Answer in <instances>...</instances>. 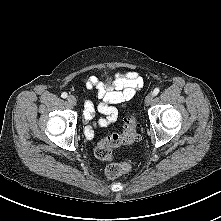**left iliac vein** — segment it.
<instances>
[{
  "label": "left iliac vein",
  "mask_w": 221,
  "mask_h": 221,
  "mask_svg": "<svg viewBox=\"0 0 221 221\" xmlns=\"http://www.w3.org/2000/svg\"><path fill=\"white\" fill-rule=\"evenodd\" d=\"M153 93H149L146 98H145V105L148 106L151 104L152 100H153Z\"/></svg>",
  "instance_id": "obj_1"
}]
</instances>
